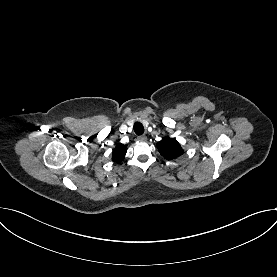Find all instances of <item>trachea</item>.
Segmentation results:
<instances>
[{
	"instance_id": "trachea-1",
	"label": "trachea",
	"mask_w": 277,
	"mask_h": 277,
	"mask_svg": "<svg viewBox=\"0 0 277 277\" xmlns=\"http://www.w3.org/2000/svg\"><path fill=\"white\" fill-rule=\"evenodd\" d=\"M133 128H134V132L137 135H142L144 133V127H143V125L140 122H136L134 124Z\"/></svg>"
}]
</instances>
